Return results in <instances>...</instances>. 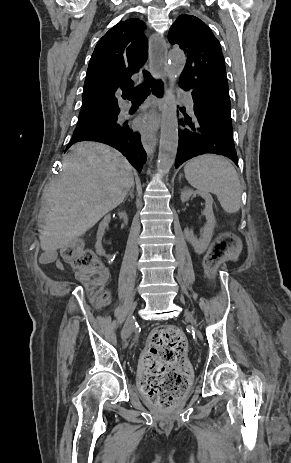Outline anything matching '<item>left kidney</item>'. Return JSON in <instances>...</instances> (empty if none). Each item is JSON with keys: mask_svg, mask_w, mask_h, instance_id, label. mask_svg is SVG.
<instances>
[{"mask_svg": "<svg viewBox=\"0 0 291 463\" xmlns=\"http://www.w3.org/2000/svg\"><path fill=\"white\" fill-rule=\"evenodd\" d=\"M192 194H197L205 200V209L203 211V215H205L206 217V224L200 230L201 236L199 239L196 236H194L193 231L189 230L188 228L184 230V235L186 237V240L193 246L195 252L201 254L205 252V250L208 248L215 227V217L212 208L213 198L208 192L201 190L194 191L192 189L185 188L181 192V201L183 203L187 202Z\"/></svg>", "mask_w": 291, "mask_h": 463, "instance_id": "obj_1", "label": "left kidney"}]
</instances>
